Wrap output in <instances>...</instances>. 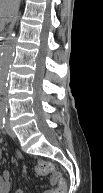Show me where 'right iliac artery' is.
<instances>
[{
    "mask_svg": "<svg viewBox=\"0 0 103 193\" xmlns=\"http://www.w3.org/2000/svg\"><path fill=\"white\" fill-rule=\"evenodd\" d=\"M0 127L3 129L5 127V114H0Z\"/></svg>",
    "mask_w": 103,
    "mask_h": 193,
    "instance_id": "obj_1",
    "label": "right iliac artery"
}]
</instances>
